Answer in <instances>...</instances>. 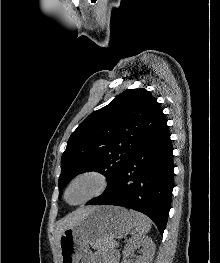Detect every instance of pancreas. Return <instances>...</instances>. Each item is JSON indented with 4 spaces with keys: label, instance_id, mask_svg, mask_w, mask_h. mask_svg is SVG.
I'll use <instances>...</instances> for the list:
<instances>
[{
    "label": "pancreas",
    "instance_id": "cf45deb5",
    "mask_svg": "<svg viewBox=\"0 0 220 263\" xmlns=\"http://www.w3.org/2000/svg\"><path fill=\"white\" fill-rule=\"evenodd\" d=\"M101 249H102V250H105V249H106V247H105V246H103Z\"/></svg>",
    "mask_w": 220,
    "mask_h": 263
}]
</instances>
